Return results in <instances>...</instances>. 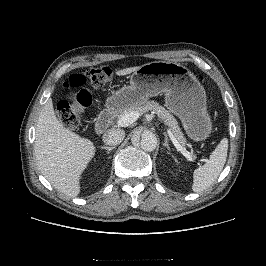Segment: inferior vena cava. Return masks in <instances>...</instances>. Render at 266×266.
Returning <instances> with one entry per match:
<instances>
[{
  "label": "inferior vena cava",
  "mask_w": 266,
  "mask_h": 266,
  "mask_svg": "<svg viewBox=\"0 0 266 266\" xmlns=\"http://www.w3.org/2000/svg\"><path fill=\"white\" fill-rule=\"evenodd\" d=\"M125 137V131L122 129H111L104 133L103 141L110 146H116L120 144Z\"/></svg>",
  "instance_id": "1"
}]
</instances>
